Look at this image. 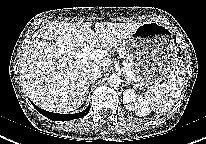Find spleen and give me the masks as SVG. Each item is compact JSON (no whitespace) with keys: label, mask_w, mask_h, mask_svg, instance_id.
<instances>
[{"label":"spleen","mask_w":206,"mask_h":144,"mask_svg":"<svg viewBox=\"0 0 206 144\" xmlns=\"http://www.w3.org/2000/svg\"><path fill=\"white\" fill-rule=\"evenodd\" d=\"M185 68L179 59L174 61L168 80L161 85L151 86L145 93V100L156 113L169 109L181 94L185 82Z\"/></svg>","instance_id":"spleen-1"}]
</instances>
